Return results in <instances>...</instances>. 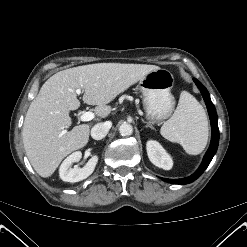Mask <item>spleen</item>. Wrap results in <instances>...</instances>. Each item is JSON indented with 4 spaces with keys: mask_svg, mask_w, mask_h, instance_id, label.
Returning a JSON list of instances; mask_svg holds the SVG:
<instances>
[{
    "mask_svg": "<svg viewBox=\"0 0 247 247\" xmlns=\"http://www.w3.org/2000/svg\"><path fill=\"white\" fill-rule=\"evenodd\" d=\"M160 132L165 139L179 143L188 154H200L208 141L206 113L190 93L183 91L174 114Z\"/></svg>",
    "mask_w": 247,
    "mask_h": 247,
    "instance_id": "spleen-1",
    "label": "spleen"
}]
</instances>
